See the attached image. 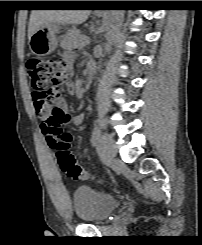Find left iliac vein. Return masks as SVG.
<instances>
[{
    "label": "left iliac vein",
    "instance_id": "left-iliac-vein-1",
    "mask_svg": "<svg viewBox=\"0 0 202 245\" xmlns=\"http://www.w3.org/2000/svg\"><path fill=\"white\" fill-rule=\"evenodd\" d=\"M100 154L107 163H113L116 158L117 148L112 138L104 133L100 140Z\"/></svg>",
    "mask_w": 202,
    "mask_h": 245
}]
</instances>
